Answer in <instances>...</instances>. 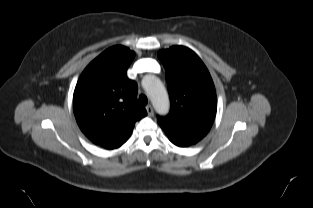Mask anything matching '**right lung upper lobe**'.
I'll return each mask as SVG.
<instances>
[{
  "mask_svg": "<svg viewBox=\"0 0 313 208\" xmlns=\"http://www.w3.org/2000/svg\"><path fill=\"white\" fill-rule=\"evenodd\" d=\"M135 53L113 46L82 72L73 95V109L82 132L96 145L115 149L130 137L135 122L147 115L137 102V84L126 71Z\"/></svg>",
  "mask_w": 313,
  "mask_h": 208,
  "instance_id": "right-lung-upper-lobe-1",
  "label": "right lung upper lobe"
}]
</instances>
